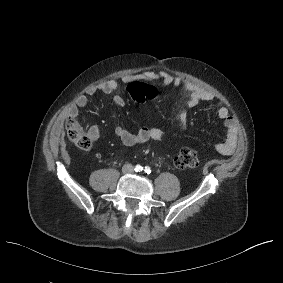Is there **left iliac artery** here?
Masks as SVG:
<instances>
[{
  "instance_id": "1",
  "label": "left iliac artery",
  "mask_w": 283,
  "mask_h": 283,
  "mask_svg": "<svg viewBox=\"0 0 283 283\" xmlns=\"http://www.w3.org/2000/svg\"><path fill=\"white\" fill-rule=\"evenodd\" d=\"M145 173L150 174L151 173V169L150 167L146 166L144 169Z\"/></svg>"
}]
</instances>
